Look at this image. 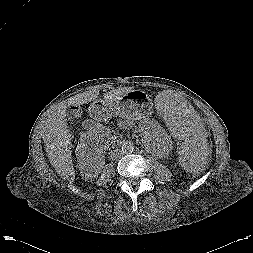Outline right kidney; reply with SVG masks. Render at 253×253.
<instances>
[{"label":"right kidney","instance_id":"ca27d5eb","mask_svg":"<svg viewBox=\"0 0 253 253\" xmlns=\"http://www.w3.org/2000/svg\"><path fill=\"white\" fill-rule=\"evenodd\" d=\"M102 129L94 128L82 133L76 147L77 167L85 179L98 177L105 163L104 152L109 148V141Z\"/></svg>","mask_w":253,"mask_h":253}]
</instances>
